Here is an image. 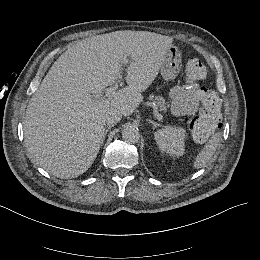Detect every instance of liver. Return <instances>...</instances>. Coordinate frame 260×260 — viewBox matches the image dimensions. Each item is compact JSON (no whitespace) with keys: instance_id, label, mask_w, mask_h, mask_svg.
Wrapping results in <instances>:
<instances>
[{"instance_id":"6515ba94","label":"liver","mask_w":260,"mask_h":260,"mask_svg":"<svg viewBox=\"0 0 260 260\" xmlns=\"http://www.w3.org/2000/svg\"><path fill=\"white\" fill-rule=\"evenodd\" d=\"M173 38L148 31H115L85 38L53 64L31 97L23 121L24 145L31 162L61 179L86 172L97 157L105 129L95 126L118 110L130 116L165 61ZM131 58L127 86L112 99H96L121 76Z\"/></svg>"}]
</instances>
